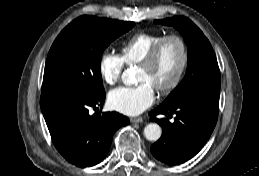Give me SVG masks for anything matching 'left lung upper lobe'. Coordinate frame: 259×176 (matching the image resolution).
Returning a JSON list of instances; mask_svg holds the SVG:
<instances>
[{
  "label": "left lung upper lobe",
  "mask_w": 259,
  "mask_h": 176,
  "mask_svg": "<svg viewBox=\"0 0 259 176\" xmlns=\"http://www.w3.org/2000/svg\"><path fill=\"white\" fill-rule=\"evenodd\" d=\"M155 22L174 26L180 31L188 46L186 75L161 105L169 107L194 98L219 102L220 70L213 48L202 31L183 16Z\"/></svg>",
  "instance_id": "obj_1"
}]
</instances>
